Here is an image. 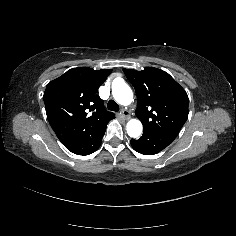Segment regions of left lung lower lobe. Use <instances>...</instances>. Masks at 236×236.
<instances>
[{
    "label": "left lung lower lobe",
    "instance_id": "1",
    "mask_svg": "<svg viewBox=\"0 0 236 236\" xmlns=\"http://www.w3.org/2000/svg\"><path fill=\"white\" fill-rule=\"evenodd\" d=\"M174 139L172 135L143 131L138 140L131 139V145L141 154L153 155L166 148Z\"/></svg>",
    "mask_w": 236,
    "mask_h": 236
}]
</instances>
